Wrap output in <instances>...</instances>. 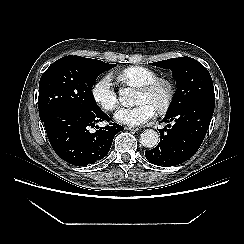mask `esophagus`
I'll use <instances>...</instances> for the list:
<instances>
[{"instance_id":"obj_1","label":"esophagus","mask_w":244,"mask_h":244,"mask_svg":"<svg viewBox=\"0 0 244 244\" xmlns=\"http://www.w3.org/2000/svg\"><path fill=\"white\" fill-rule=\"evenodd\" d=\"M126 130H130V131H139L140 129L139 128H134V127H125Z\"/></svg>"}]
</instances>
